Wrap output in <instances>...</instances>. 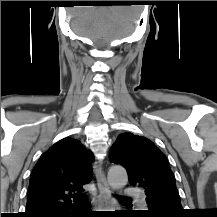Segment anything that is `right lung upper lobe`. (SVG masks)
<instances>
[{
	"label": "right lung upper lobe",
	"instance_id": "obj_1",
	"mask_svg": "<svg viewBox=\"0 0 217 217\" xmlns=\"http://www.w3.org/2000/svg\"><path fill=\"white\" fill-rule=\"evenodd\" d=\"M93 159L92 152L70 137L50 147L31 173L23 216L55 217L77 209L85 198L82 186L92 179Z\"/></svg>",
	"mask_w": 217,
	"mask_h": 217
}]
</instances>
